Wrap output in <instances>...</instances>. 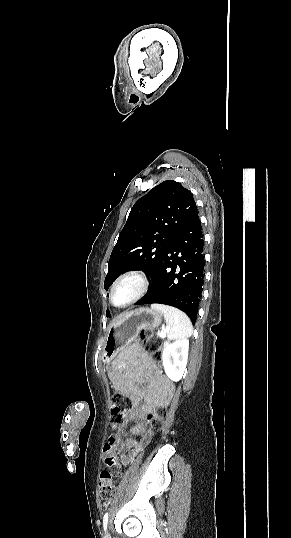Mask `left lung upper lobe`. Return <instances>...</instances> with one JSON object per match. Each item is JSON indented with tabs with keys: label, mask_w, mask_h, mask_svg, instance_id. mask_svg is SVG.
Listing matches in <instances>:
<instances>
[{
	"label": "left lung upper lobe",
	"mask_w": 291,
	"mask_h": 538,
	"mask_svg": "<svg viewBox=\"0 0 291 538\" xmlns=\"http://www.w3.org/2000/svg\"><path fill=\"white\" fill-rule=\"evenodd\" d=\"M196 213L193 194L179 182L167 180L151 189L129 213L112 250L104 288L129 270L152 277L173 238Z\"/></svg>",
	"instance_id": "left-lung-upper-lobe-1"
}]
</instances>
